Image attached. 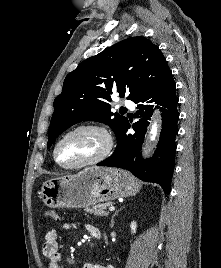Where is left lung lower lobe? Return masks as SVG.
Instances as JSON below:
<instances>
[{
    "label": "left lung lower lobe",
    "instance_id": "1",
    "mask_svg": "<svg viewBox=\"0 0 221 268\" xmlns=\"http://www.w3.org/2000/svg\"><path fill=\"white\" fill-rule=\"evenodd\" d=\"M175 89L176 84L171 76L155 91L135 101L138 109L136 117L140 118L132 125L135 133L127 134L130 128L128 122L116 136L117 146L113 154L97 165L129 170L143 181L160 184L164 192L168 194L175 165V137L178 133V98ZM153 102L161 106L162 130L155 154L152 158L144 160L141 156V146L149 125L148 120L152 115L153 105L150 104Z\"/></svg>",
    "mask_w": 221,
    "mask_h": 268
}]
</instances>
